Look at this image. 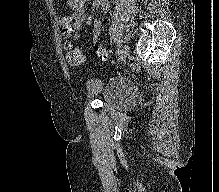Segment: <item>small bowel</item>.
I'll list each match as a JSON object with an SVG mask.
<instances>
[{
    "instance_id": "obj_1",
    "label": "small bowel",
    "mask_w": 219,
    "mask_h": 192,
    "mask_svg": "<svg viewBox=\"0 0 219 192\" xmlns=\"http://www.w3.org/2000/svg\"><path fill=\"white\" fill-rule=\"evenodd\" d=\"M86 1L87 0H66V9L69 14L62 16L59 21L62 26V34L65 38L72 37L74 40H79V31L84 23H88L93 28L94 42H96L100 34L101 19L98 16L87 17L83 8ZM92 5L95 10L102 13H106L110 9L108 0H92ZM75 49L83 52V49L80 47Z\"/></svg>"
}]
</instances>
